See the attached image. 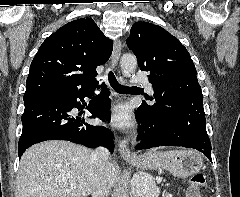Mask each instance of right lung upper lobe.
<instances>
[{
  "label": "right lung upper lobe",
  "instance_id": "cb5924a9",
  "mask_svg": "<svg viewBox=\"0 0 240 197\" xmlns=\"http://www.w3.org/2000/svg\"><path fill=\"white\" fill-rule=\"evenodd\" d=\"M113 43L91 18L62 26L40 46L26 81L24 100L67 90L84 91L97 85L96 67L112 53Z\"/></svg>",
  "mask_w": 240,
  "mask_h": 197
}]
</instances>
